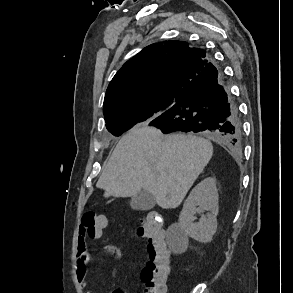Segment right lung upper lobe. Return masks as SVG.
Wrapping results in <instances>:
<instances>
[{"label":"right lung upper lobe","mask_w":293,"mask_h":293,"mask_svg":"<svg viewBox=\"0 0 293 293\" xmlns=\"http://www.w3.org/2000/svg\"><path fill=\"white\" fill-rule=\"evenodd\" d=\"M209 62L203 50L189 47L186 42L163 41L147 46L127 61L110 82L104 99L105 119L155 109L166 102L162 111L154 113L156 118L172 106V101Z\"/></svg>","instance_id":"cb5924a9"}]
</instances>
